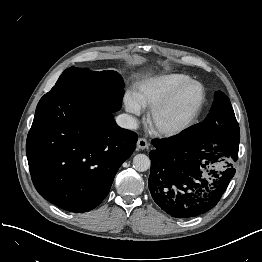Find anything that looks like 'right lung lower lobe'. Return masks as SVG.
Segmentation results:
<instances>
[{"label":"right lung lower lobe","mask_w":262,"mask_h":262,"mask_svg":"<svg viewBox=\"0 0 262 262\" xmlns=\"http://www.w3.org/2000/svg\"><path fill=\"white\" fill-rule=\"evenodd\" d=\"M136 133L84 94L44 95L27 136L31 178L41 196L71 212H86L107 196L136 147Z\"/></svg>","instance_id":"right-lung-lower-lobe-1"}]
</instances>
